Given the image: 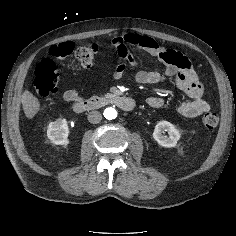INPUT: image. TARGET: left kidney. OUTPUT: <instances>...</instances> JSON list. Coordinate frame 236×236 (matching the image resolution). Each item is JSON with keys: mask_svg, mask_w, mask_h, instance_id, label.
Masks as SVG:
<instances>
[{"mask_svg": "<svg viewBox=\"0 0 236 236\" xmlns=\"http://www.w3.org/2000/svg\"><path fill=\"white\" fill-rule=\"evenodd\" d=\"M164 131L168 132V137L163 135ZM153 138L159 145L170 148L176 146L177 141L180 139V133L170 122L160 121L155 126Z\"/></svg>", "mask_w": 236, "mask_h": 236, "instance_id": "1", "label": "left kidney"}]
</instances>
